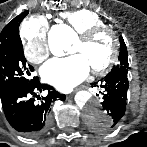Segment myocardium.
I'll use <instances>...</instances> for the list:
<instances>
[{"instance_id":"f54148a6","label":"myocardium","mask_w":147,"mask_h":147,"mask_svg":"<svg viewBox=\"0 0 147 147\" xmlns=\"http://www.w3.org/2000/svg\"><path fill=\"white\" fill-rule=\"evenodd\" d=\"M102 35H107L110 38L111 52L109 58L103 65L92 67V72L97 75L105 74L106 72H108L114 66L118 59L119 42L116 33L112 29L105 26L96 27L83 34H80L78 39L84 46H89Z\"/></svg>"}]
</instances>
